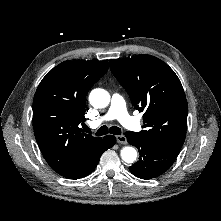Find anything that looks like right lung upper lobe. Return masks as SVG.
Segmentation results:
<instances>
[{
	"instance_id": "cb5924a9",
	"label": "right lung upper lobe",
	"mask_w": 221,
	"mask_h": 221,
	"mask_svg": "<svg viewBox=\"0 0 221 221\" xmlns=\"http://www.w3.org/2000/svg\"><path fill=\"white\" fill-rule=\"evenodd\" d=\"M108 61H64L40 82L33 100L34 135L50 167L64 176L73 172L101 143L85 134V98L107 72ZM83 124V123H82Z\"/></svg>"
}]
</instances>
